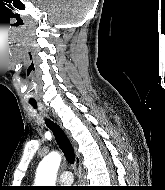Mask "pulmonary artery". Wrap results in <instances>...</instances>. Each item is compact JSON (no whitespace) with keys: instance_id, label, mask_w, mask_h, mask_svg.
I'll use <instances>...</instances> for the list:
<instances>
[{"instance_id":"pulmonary-artery-1","label":"pulmonary artery","mask_w":165,"mask_h":190,"mask_svg":"<svg viewBox=\"0 0 165 190\" xmlns=\"http://www.w3.org/2000/svg\"><path fill=\"white\" fill-rule=\"evenodd\" d=\"M60 183L69 185L73 182V174L70 171H63L59 176Z\"/></svg>"}]
</instances>
